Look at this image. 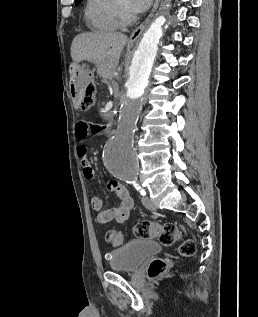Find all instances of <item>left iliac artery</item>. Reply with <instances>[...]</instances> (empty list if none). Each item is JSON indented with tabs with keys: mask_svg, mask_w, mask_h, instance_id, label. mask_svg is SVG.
<instances>
[{
	"mask_svg": "<svg viewBox=\"0 0 258 317\" xmlns=\"http://www.w3.org/2000/svg\"><path fill=\"white\" fill-rule=\"evenodd\" d=\"M122 180L127 184L132 185L140 195H146V189L138 183L137 177H123Z\"/></svg>",
	"mask_w": 258,
	"mask_h": 317,
	"instance_id": "1",
	"label": "left iliac artery"
}]
</instances>
